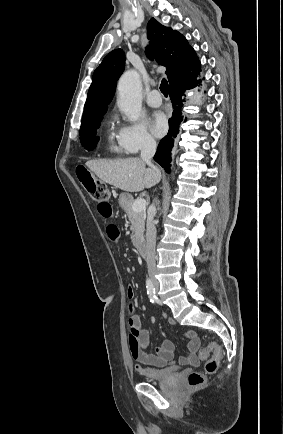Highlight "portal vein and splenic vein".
<instances>
[{
    "instance_id": "1",
    "label": "portal vein and splenic vein",
    "mask_w": 283,
    "mask_h": 434,
    "mask_svg": "<svg viewBox=\"0 0 283 434\" xmlns=\"http://www.w3.org/2000/svg\"><path fill=\"white\" fill-rule=\"evenodd\" d=\"M145 208H146V200L144 198L137 199L132 206V209L135 212H142L145 210Z\"/></svg>"
}]
</instances>
